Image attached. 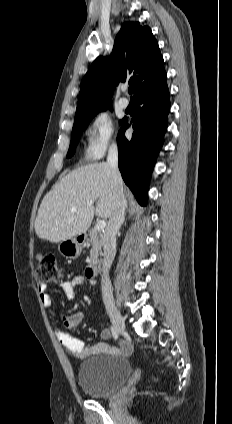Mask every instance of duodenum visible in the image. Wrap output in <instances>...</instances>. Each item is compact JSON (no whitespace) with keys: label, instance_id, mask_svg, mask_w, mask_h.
Masks as SVG:
<instances>
[{"label":"duodenum","instance_id":"410a0bca","mask_svg":"<svg viewBox=\"0 0 232 424\" xmlns=\"http://www.w3.org/2000/svg\"><path fill=\"white\" fill-rule=\"evenodd\" d=\"M86 235H82V239H85ZM100 269V260L97 257H94L90 260L87 266V274L89 276H95L98 274Z\"/></svg>","mask_w":232,"mask_h":424}]
</instances>
